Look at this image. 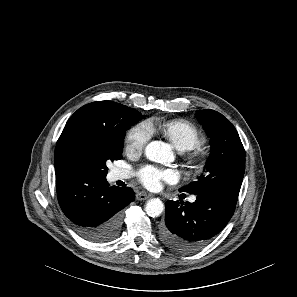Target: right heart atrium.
Wrapping results in <instances>:
<instances>
[{"mask_svg":"<svg viewBox=\"0 0 297 297\" xmlns=\"http://www.w3.org/2000/svg\"><path fill=\"white\" fill-rule=\"evenodd\" d=\"M149 123L141 122L133 126L125 138L126 150L131 154H141L152 137Z\"/></svg>","mask_w":297,"mask_h":297,"instance_id":"right-heart-atrium-1","label":"right heart atrium"}]
</instances>
